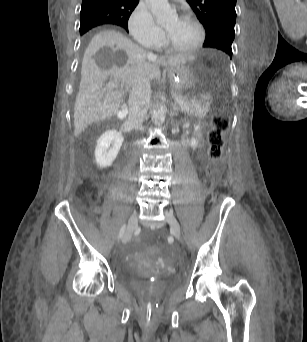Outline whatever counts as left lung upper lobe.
I'll return each mask as SVG.
<instances>
[{"instance_id": "1", "label": "left lung upper lobe", "mask_w": 307, "mask_h": 342, "mask_svg": "<svg viewBox=\"0 0 307 342\" xmlns=\"http://www.w3.org/2000/svg\"><path fill=\"white\" fill-rule=\"evenodd\" d=\"M206 31L203 47L217 48L232 58L236 0H187Z\"/></svg>"}]
</instances>
